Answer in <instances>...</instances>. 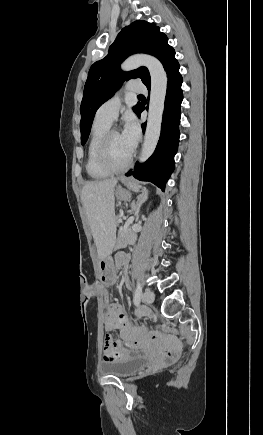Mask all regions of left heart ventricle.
I'll list each match as a JSON object with an SVG mask.
<instances>
[{"instance_id": "left-heart-ventricle-1", "label": "left heart ventricle", "mask_w": 263, "mask_h": 435, "mask_svg": "<svg viewBox=\"0 0 263 435\" xmlns=\"http://www.w3.org/2000/svg\"><path fill=\"white\" fill-rule=\"evenodd\" d=\"M131 153L132 152L124 143L121 133H114L109 145V157L111 162L116 166L123 165L128 160Z\"/></svg>"}]
</instances>
